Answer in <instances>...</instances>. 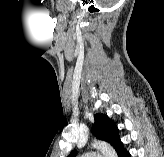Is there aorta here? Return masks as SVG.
Listing matches in <instances>:
<instances>
[{
	"instance_id": "aorta-1",
	"label": "aorta",
	"mask_w": 164,
	"mask_h": 157,
	"mask_svg": "<svg viewBox=\"0 0 164 157\" xmlns=\"http://www.w3.org/2000/svg\"><path fill=\"white\" fill-rule=\"evenodd\" d=\"M92 147L101 151L104 157H116L114 148L105 141H94Z\"/></svg>"
}]
</instances>
